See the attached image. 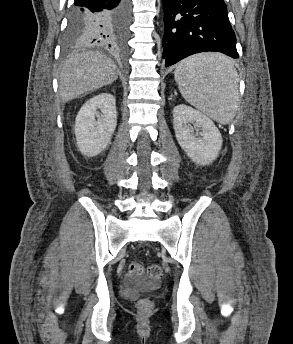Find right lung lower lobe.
I'll list each match as a JSON object with an SVG mask.
<instances>
[{
	"mask_svg": "<svg viewBox=\"0 0 293 344\" xmlns=\"http://www.w3.org/2000/svg\"><path fill=\"white\" fill-rule=\"evenodd\" d=\"M130 0H74V11L89 20L83 27L85 44L121 49L127 35Z\"/></svg>",
	"mask_w": 293,
	"mask_h": 344,
	"instance_id": "1",
	"label": "right lung lower lobe"
}]
</instances>
